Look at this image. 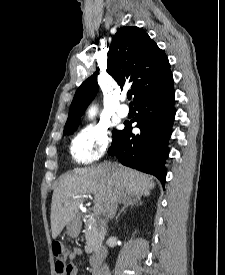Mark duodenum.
Returning <instances> with one entry per match:
<instances>
[{"label": "duodenum", "mask_w": 225, "mask_h": 275, "mask_svg": "<svg viewBox=\"0 0 225 275\" xmlns=\"http://www.w3.org/2000/svg\"><path fill=\"white\" fill-rule=\"evenodd\" d=\"M104 225L99 227L100 232H104ZM106 256V251L104 249L99 250L95 255L91 256V266L94 274H97L101 268V264Z\"/></svg>", "instance_id": "410a0bca"}]
</instances>
